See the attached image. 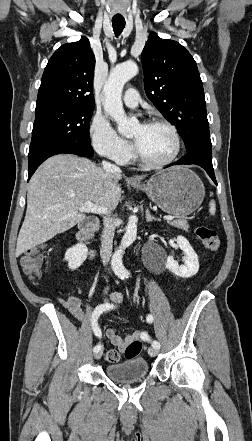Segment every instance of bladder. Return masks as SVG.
<instances>
[{"mask_svg": "<svg viewBox=\"0 0 252 441\" xmlns=\"http://www.w3.org/2000/svg\"><path fill=\"white\" fill-rule=\"evenodd\" d=\"M105 372L107 377L115 382L131 383L145 378L148 374V362L143 357L130 358L108 364Z\"/></svg>", "mask_w": 252, "mask_h": 441, "instance_id": "1", "label": "bladder"}]
</instances>
